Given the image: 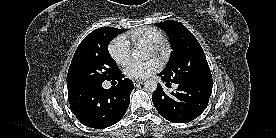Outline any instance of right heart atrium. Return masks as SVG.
<instances>
[{
    "label": "right heart atrium",
    "mask_w": 276,
    "mask_h": 138,
    "mask_svg": "<svg viewBox=\"0 0 276 138\" xmlns=\"http://www.w3.org/2000/svg\"><path fill=\"white\" fill-rule=\"evenodd\" d=\"M108 52L117 64L125 65L131 55L129 42L125 37L118 36L109 44Z\"/></svg>",
    "instance_id": "obj_1"
}]
</instances>
